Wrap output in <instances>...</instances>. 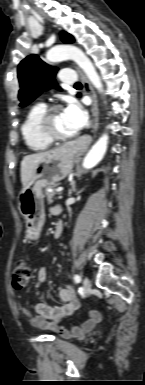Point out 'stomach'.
<instances>
[{
  "instance_id": "obj_1",
  "label": "stomach",
  "mask_w": 145,
  "mask_h": 385,
  "mask_svg": "<svg viewBox=\"0 0 145 385\" xmlns=\"http://www.w3.org/2000/svg\"><path fill=\"white\" fill-rule=\"evenodd\" d=\"M75 156L69 146L52 150L36 166L26 187L18 194V208L26 219V237L37 240L44 225L43 188L63 180L72 170Z\"/></svg>"
}]
</instances>
